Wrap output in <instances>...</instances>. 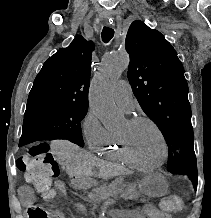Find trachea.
<instances>
[{
  "label": "trachea",
  "instance_id": "trachea-1",
  "mask_svg": "<svg viewBox=\"0 0 211 218\" xmlns=\"http://www.w3.org/2000/svg\"><path fill=\"white\" fill-rule=\"evenodd\" d=\"M114 36V30L113 28L109 27H104L102 30V40L104 43H109V41L113 38Z\"/></svg>",
  "mask_w": 211,
  "mask_h": 218
}]
</instances>
